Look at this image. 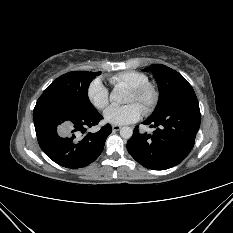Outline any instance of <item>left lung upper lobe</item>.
<instances>
[{
    "instance_id": "1",
    "label": "left lung upper lobe",
    "mask_w": 233,
    "mask_h": 233,
    "mask_svg": "<svg viewBox=\"0 0 233 233\" xmlns=\"http://www.w3.org/2000/svg\"><path fill=\"white\" fill-rule=\"evenodd\" d=\"M144 70H151L158 83L159 100L157 107L150 116V118H157L169 108L185 88L191 85L181 74L165 65L153 64Z\"/></svg>"
}]
</instances>
